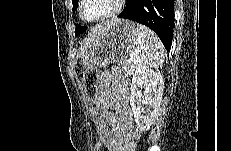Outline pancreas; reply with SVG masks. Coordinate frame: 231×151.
<instances>
[{
	"mask_svg": "<svg viewBox=\"0 0 231 151\" xmlns=\"http://www.w3.org/2000/svg\"><path fill=\"white\" fill-rule=\"evenodd\" d=\"M137 67V64L135 62H123L122 63V70L125 72V74L131 76L134 74V71Z\"/></svg>",
	"mask_w": 231,
	"mask_h": 151,
	"instance_id": "pancreas-1",
	"label": "pancreas"
}]
</instances>
